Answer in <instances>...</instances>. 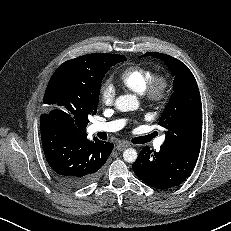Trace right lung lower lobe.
<instances>
[{"mask_svg":"<svg viewBox=\"0 0 231 231\" xmlns=\"http://www.w3.org/2000/svg\"><path fill=\"white\" fill-rule=\"evenodd\" d=\"M41 141L45 158L57 180L71 188L95 181L114 145L87 135H75L48 114L40 117Z\"/></svg>","mask_w":231,"mask_h":231,"instance_id":"1","label":"right lung lower lobe"}]
</instances>
